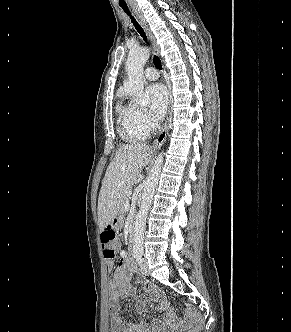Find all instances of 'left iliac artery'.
Masks as SVG:
<instances>
[{"instance_id":"1","label":"left iliac artery","mask_w":291,"mask_h":332,"mask_svg":"<svg viewBox=\"0 0 291 332\" xmlns=\"http://www.w3.org/2000/svg\"><path fill=\"white\" fill-rule=\"evenodd\" d=\"M135 258H136V261H137L139 264H141V263L143 262V258H142V256H141L140 254H137V255L135 256Z\"/></svg>"}]
</instances>
